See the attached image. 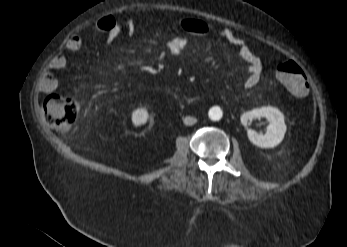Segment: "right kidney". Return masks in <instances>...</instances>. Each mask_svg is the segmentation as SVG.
<instances>
[{"label": "right kidney", "instance_id": "1", "mask_svg": "<svg viewBox=\"0 0 347 247\" xmlns=\"http://www.w3.org/2000/svg\"><path fill=\"white\" fill-rule=\"evenodd\" d=\"M148 119V111L146 108H140L132 113V122L135 126H140L146 123Z\"/></svg>", "mask_w": 347, "mask_h": 247}]
</instances>
